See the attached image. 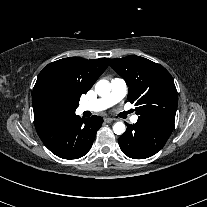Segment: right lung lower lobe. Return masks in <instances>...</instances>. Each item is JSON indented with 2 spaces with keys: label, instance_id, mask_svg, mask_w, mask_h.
<instances>
[{
  "label": "right lung lower lobe",
  "instance_id": "right-lung-lower-lobe-1",
  "mask_svg": "<svg viewBox=\"0 0 207 207\" xmlns=\"http://www.w3.org/2000/svg\"><path fill=\"white\" fill-rule=\"evenodd\" d=\"M102 123L99 116L83 119L73 112L46 117L35 122V128L52 153L64 159H76L90 150Z\"/></svg>",
  "mask_w": 207,
  "mask_h": 207
}]
</instances>
